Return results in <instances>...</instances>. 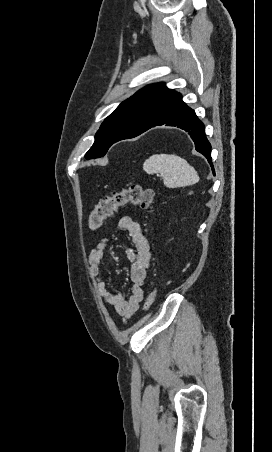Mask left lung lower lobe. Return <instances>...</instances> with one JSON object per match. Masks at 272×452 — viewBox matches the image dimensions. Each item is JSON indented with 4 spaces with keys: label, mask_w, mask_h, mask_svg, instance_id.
I'll return each instance as SVG.
<instances>
[{
    "label": "left lung lower lobe",
    "mask_w": 272,
    "mask_h": 452,
    "mask_svg": "<svg viewBox=\"0 0 272 452\" xmlns=\"http://www.w3.org/2000/svg\"><path fill=\"white\" fill-rule=\"evenodd\" d=\"M161 125L178 127L188 132L195 143V149L207 158L214 173V167L211 159V145L205 135V126L198 119L194 110L189 108L182 101V95L180 93L177 92L170 99V101L157 116L154 123L148 129Z\"/></svg>",
    "instance_id": "1"
}]
</instances>
